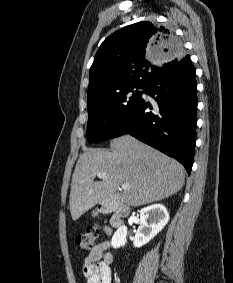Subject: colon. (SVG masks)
<instances>
[{
    "label": "colon",
    "instance_id": "obj_1",
    "mask_svg": "<svg viewBox=\"0 0 233 283\" xmlns=\"http://www.w3.org/2000/svg\"><path fill=\"white\" fill-rule=\"evenodd\" d=\"M99 236V227L97 225L88 226L82 233H80L75 244L83 250L92 249Z\"/></svg>",
    "mask_w": 233,
    "mask_h": 283
}]
</instances>
